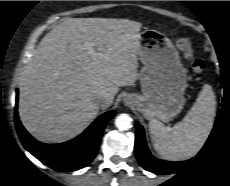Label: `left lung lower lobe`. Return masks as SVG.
<instances>
[{"label":"left lung lower lobe","instance_id":"0a47b994","mask_svg":"<svg viewBox=\"0 0 230 186\" xmlns=\"http://www.w3.org/2000/svg\"><path fill=\"white\" fill-rule=\"evenodd\" d=\"M135 153L141 166L147 171L157 174H172L176 173L182 168H186L191 165L195 159H190L183 162H168L160 160L151 155L145 141L144 130L142 126L137 125L136 137H135Z\"/></svg>","mask_w":230,"mask_h":186}]
</instances>
